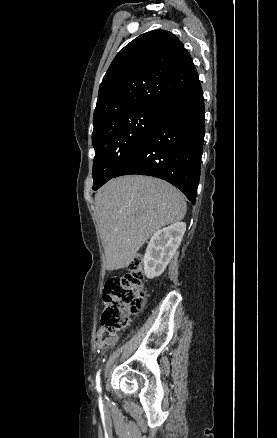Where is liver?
<instances>
[{
	"label": "liver",
	"mask_w": 277,
	"mask_h": 438,
	"mask_svg": "<svg viewBox=\"0 0 277 438\" xmlns=\"http://www.w3.org/2000/svg\"><path fill=\"white\" fill-rule=\"evenodd\" d=\"M107 270L128 268L148 238L183 220V194L159 178L120 176L95 194Z\"/></svg>",
	"instance_id": "6515ba94"
}]
</instances>
